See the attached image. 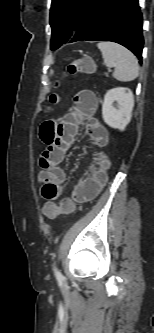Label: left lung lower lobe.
<instances>
[{"instance_id":"1","label":"left lung lower lobe","mask_w":154,"mask_h":333,"mask_svg":"<svg viewBox=\"0 0 154 333\" xmlns=\"http://www.w3.org/2000/svg\"><path fill=\"white\" fill-rule=\"evenodd\" d=\"M81 40L119 43L142 63V14L138 0H96L70 42Z\"/></svg>"}]
</instances>
